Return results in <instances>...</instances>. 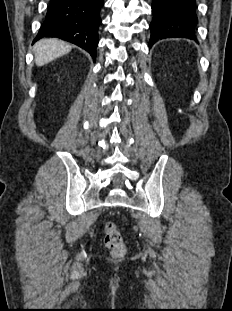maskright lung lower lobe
I'll list each match as a JSON object with an SVG mask.
<instances>
[{
  "label": "right lung lower lobe",
  "mask_w": 232,
  "mask_h": 311,
  "mask_svg": "<svg viewBox=\"0 0 232 311\" xmlns=\"http://www.w3.org/2000/svg\"><path fill=\"white\" fill-rule=\"evenodd\" d=\"M103 5V0H51L34 42L57 37L85 49L95 59Z\"/></svg>",
  "instance_id": "1"
}]
</instances>
